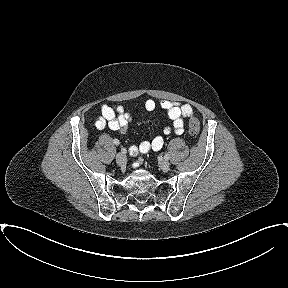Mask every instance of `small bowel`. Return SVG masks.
<instances>
[{"label":"small bowel","mask_w":288,"mask_h":288,"mask_svg":"<svg viewBox=\"0 0 288 288\" xmlns=\"http://www.w3.org/2000/svg\"><path fill=\"white\" fill-rule=\"evenodd\" d=\"M159 106L166 112L168 118L172 121L171 125L163 127V134L169 135L175 133L181 135L184 132V119L194 114V109L189 104H180L168 100H161ZM144 107L147 111H153L157 107L156 101L153 99L146 100ZM100 116L97 118L95 125L98 129L106 126L119 134H125L127 126L132 119V115L125 111L123 106L102 105ZM164 145V137L162 135L155 136L151 141H143L138 145L130 148L133 156L138 154H146L151 151H159Z\"/></svg>","instance_id":"c3829d8e"}]
</instances>
